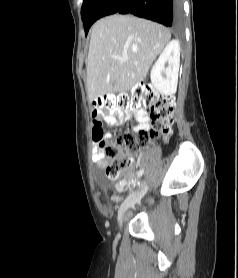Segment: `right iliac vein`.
Masks as SVG:
<instances>
[{
	"instance_id": "63e3f726",
	"label": "right iliac vein",
	"mask_w": 238,
	"mask_h": 278,
	"mask_svg": "<svg viewBox=\"0 0 238 278\" xmlns=\"http://www.w3.org/2000/svg\"><path fill=\"white\" fill-rule=\"evenodd\" d=\"M152 179H149L147 181V186H141V189H136V192H138V195H147V192H149L150 186H151ZM138 195L133 191L130 193V195L127 197V199L124 201V203L121 206L120 214H119V229L121 230L123 227V223L126 219V214L128 210L135 205L136 202H141V199H138Z\"/></svg>"
}]
</instances>
